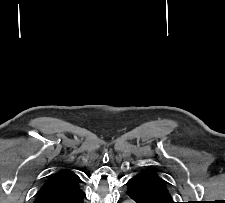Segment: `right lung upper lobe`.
<instances>
[{
	"mask_svg": "<svg viewBox=\"0 0 225 203\" xmlns=\"http://www.w3.org/2000/svg\"><path fill=\"white\" fill-rule=\"evenodd\" d=\"M83 181L77 174L69 169L60 170L49 177L42 186L38 198L39 201H54L62 198H73L82 192Z\"/></svg>",
	"mask_w": 225,
	"mask_h": 203,
	"instance_id": "1",
	"label": "right lung upper lobe"
}]
</instances>
